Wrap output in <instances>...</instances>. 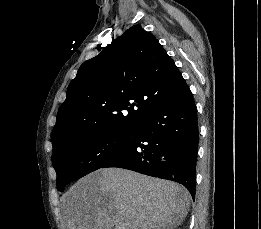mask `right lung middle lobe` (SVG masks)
<instances>
[{
    "instance_id": "dd1d6c3e",
    "label": "right lung middle lobe",
    "mask_w": 261,
    "mask_h": 229,
    "mask_svg": "<svg viewBox=\"0 0 261 229\" xmlns=\"http://www.w3.org/2000/svg\"><path fill=\"white\" fill-rule=\"evenodd\" d=\"M134 134L106 130L84 131L62 142L52 154L57 189L63 192V187L68 183L102 168L129 147Z\"/></svg>"
}]
</instances>
